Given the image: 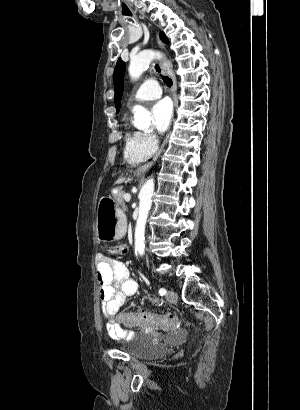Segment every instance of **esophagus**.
Wrapping results in <instances>:
<instances>
[{
    "label": "esophagus",
    "mask_w": 300,
    "mask_h": 410,
    "mask_svg": "<svg viewBox=\"0 0 300 410\" xmlns=\"http://www.w3.org/2000/svg\"><path fill=\"white\" fill-rule=\"evenodd\" d=\"M157 41H158V44H159L160 48L163 49V48H164V44L159 40L158 37H157ZM161 66H162V69L171 77V79H172V81H173V88H172L173 94H174V95H173V99H174V103H175V106H176V105H177V99H176L177 82H176L175 74H174V72H173V70H172L171 62H170L167 58H165V59L162 60ZM166 142H167V139L164 141V143L162 144L160 150L156 153V155L153 157V159H152L151 161H149L147 164H145V165L139 167V168L136 170V172H137L138 174L145 173V172L153 165V163L157 160V158L159 157L160 153L162 152V150H163V148H164Z\"/></svg>",
    "instance_id": "34e87169"
}]
</instances>
